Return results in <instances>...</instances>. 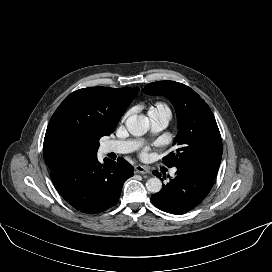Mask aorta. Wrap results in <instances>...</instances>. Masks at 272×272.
I'll return each mask as SVG.
<instances>
[{
    "mask_svg": "<svg viewBox=\"0 0 272 272\" xmlns=\"http://www.w3.org/2000/svg\"><path fill=\"white\" fill-rule=\"evenodd\" d=\"M126 128L134 136H142L147 133L149 124L143 118L136 115L128 117ZM146 188L151 193H158L162 188V182L159 178L153 177L146 182Z\"/></svg>",
    "mask_w": 272,
    "mask_h": 272,
    "instance_id": "1",
    "label": "aorta"
}]
</instances>
